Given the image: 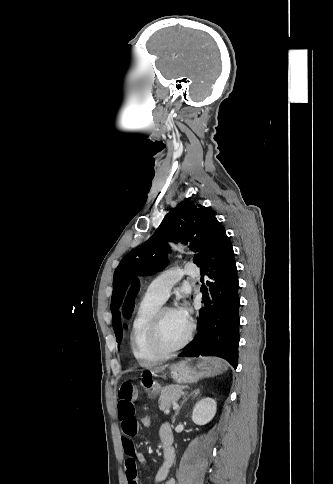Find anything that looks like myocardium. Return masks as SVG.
I'll return each mask as SVG.
<instances>
[{"label":"myocardium","instance_id":"f54148a6","mask_svg":"<svg viewBox=\"0 0 333 484\" xmlns=\"http://www.w3.org/2000/svg\"><path fill=\"white\" fill-rule=\"evenodd\" d=\"M168 310H174V309L170 307L159 308L157 312L154 314L148 330L149 348L155 355L159 356L160 358L169 357L175 354L176 352L180 351L181 349H183L191 341L193 337V332H194V325L191 321H189L188 332L184 340L175 347L166 348L163 345V342L161 339V325H162L164 314Z\"/></svg>","mask_w":333,"mask_h":484}]
</instances>
